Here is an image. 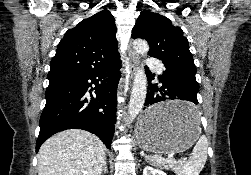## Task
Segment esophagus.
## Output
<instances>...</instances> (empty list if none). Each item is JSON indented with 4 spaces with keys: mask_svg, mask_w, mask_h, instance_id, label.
Instances as JSON below:
<instances>
[{
    "mask_svg": "<svg viewBox=\"0 0 251 175\" xmlns=\"http://www.w3.org/2000/svg\"><path fill=\"white\" fill-rule=\"evenodd\" d=\"M138 63H139L138 55L135 52H130L129 53V73H130V78H132L133 75L135 74ZM121 94H122V92L119 89L118 92H117V95L120 96Z\"/></svg>",
    "mask_w": 251,
    "mask_h": 175,
    "instance_id": "esophagus-1",
    "label": "esophagus"
}]
</instances>
